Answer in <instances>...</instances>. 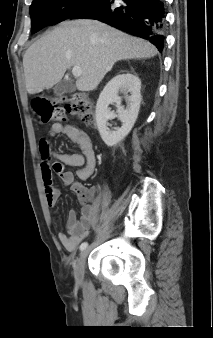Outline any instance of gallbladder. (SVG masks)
I'll return each mask as SVG.
<instances>
[{
	"mask_svg": "<svg viewBox=\"0 0 213 338\" xmlns=\"http://www.w3.org/2000/svg\"><path fill=\"white\" fill-rule=\"evenodd\" d=\"M75 89H76V87L72 82H69L67 80H62L55 85L54 94L56 96H62L65 93L74 92Z\"/></svg>",
	"mask_w": 213,
	"mask_h": 338,
	"instance_id": "1",
	"label": "gallbladder"
}]
</instances>
